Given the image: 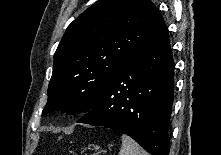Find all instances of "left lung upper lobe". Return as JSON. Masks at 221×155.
Listing matches in <instances>:
<instances>
[{
  "label": "left lung upper lobe",
  "instance_id": "left-lung-upper-lobe-1",
  "mask_svg": "<svg viewBox=\"0 0 221 155\" xmlns=\"http://www.w3.org/2000/svg\"><path fill=\"white\" fill-rule=\"evenodd\" d=\"M160 17L150 0H99L84 11L55 52L43 115L91 109Z\"/></svg>",
  "mask_w": 221,
  "mask_h": 155
}]
</instances>
